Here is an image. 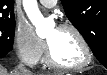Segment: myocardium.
<instances>
[{"label":"myocardium","mask_w":107,"mask_h":75,"mask_svg":"<svg viewBox=\"0 0 107 75\" xmlns=\"http://www.w3.org/2000/svg\"><path fill=\"white\" fill-rule=\"evenodd\" d=\"M57 29L69 30L75 34V36L77 37V39L79 40L80 44L83 47L85 53V59L80 64L77 65H62L54 59L50 45L49 43H47V51H46L47 65L52 69L60 70V71H77L87 67L93 59V53L83 33L75 25L71 23H62L57 27Z\"/></svg>","instance_id":"myocardium-1"}]
</instances>
